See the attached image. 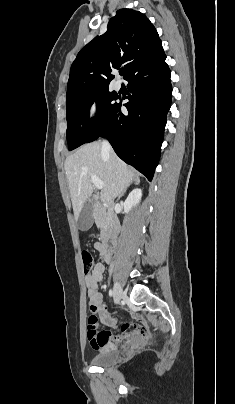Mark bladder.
<instances>
[{"mask_svg": "<svg viewBox=\"0 0 235 404\" xmlns=\"http://www.w3.org/2000/svg\"><path fill=\"white\" fill-rule=\"evenodd\" d=\"M121 352L118 349H104L96 354L91 363L99 367H108L120 360Z\"/></svg>", "mask_w": 235, "mask_h": 404, "instance_id": "obj_1", "label": "bladder"}]
</instances>
